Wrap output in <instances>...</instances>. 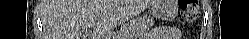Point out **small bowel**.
<instances>
[{
	"label": "small bowel",
	"mask_w": 249,
	"mask_h": 39,
	"mask_svg": "<svg viewBox=\"0 0 249 39\" xmlns=\"http://www.w3.org/2000/svg\"><path fill=\"white\" fill-rule=\"evenodd\" d=\"M178 31L174 27H159L151 30L145 39H168Z\"/></svg>",
	"instance_id": "c3829d8e"
}]
</instances>
